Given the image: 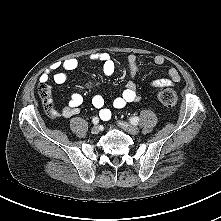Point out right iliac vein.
Instances as JSON below:
<instances>
[{"mask_svg": "<svg viewBox=\"0 0 221 221\" xmlns=\"http://www.w3.org/2000/svg\"><path fill=\"white\" fill-rule=\"evenodd\" d=\"M99 127L98 126H93L91 129V133L94 135H97L99 133Z\"/></svg>", "mask_w": 221, "mask_h": 221, "instance_id": "63e3f726", "label": "right iliac vein"}]
</instances>
